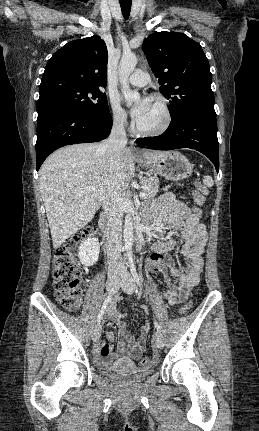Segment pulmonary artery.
Masks as SVG:
<instances>
[{"instance_id": "1", "label": "pulmonary artery", "mask_w": 259, "mask_h": 431, "mask_svg": "<svg viewBox=\"0 0 259 431\" xmlns=\"http://www.w3.org/2000/svg\"><path fill=\"white\" fill-rule=\"evenodd\" d=\"M148 74L141 70L137 69L129 78L128 82L137 87L145 86L148 83Z\"/></svg>"}]
</instances>
